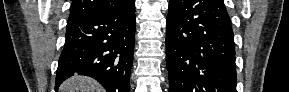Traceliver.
Listing matches in <instances>:
<instances>
[{
    "instance_id": "1",
    "label": "liver",
    "mask_w": 289,
    "mask_h": 92,
    "mask_svg": "<svg viewBox=\"0 0 289 92\" xmlns=\"http://www.w3.org/2000/svg\"><path fill=\"white\" fill-rule=\"evenodd\" d=\"M61 92H102V87L93 79L86 76L74 75L62 83Z\"/></svg>"
}]
</instances>
